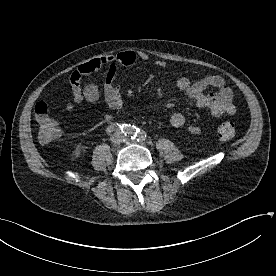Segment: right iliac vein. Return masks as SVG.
Segmentation results:
<instances>
[{"label":"right iliac vein","mask_w":276,"mask_h":276,"mask_svg":"<svg viewBox=\"0 0 276 276\" xmlns=\"http://www.w3.org/2000/svg\"><path fill=\"white\" fill-rule=\"evenodd\" d=\"M121 142L120 136L118 134H115L112 136V143L114 146H118Z\"/></svg>","instance_id":"right-iliac-vein-1"}]
</instances>
